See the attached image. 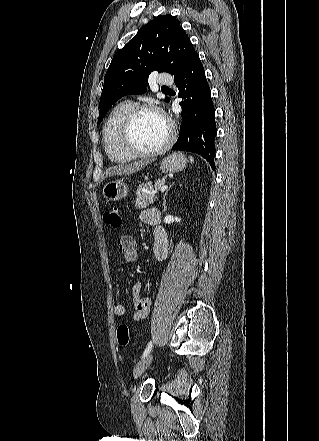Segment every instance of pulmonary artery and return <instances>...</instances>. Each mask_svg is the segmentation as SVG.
I'll use <instances>...</instances> for the list:
<instances>
[{
	"label": "pulmonary artery",
	"instance_id": "e3ab8cb5",
	"mask_svg": "<svg viewBox=\"0 0 319 441\" xmlns=\"http://www.w3.org/2000/svg\"><path fill=\"white\" fill-rule=\"evenodd\" d=\"M157 83L161 86H168L173 83V78L170 74L162 73L158 76Z\"/></svg>",
	"mask_w": 319,
	"mask_h": 441
}]
</instances>
